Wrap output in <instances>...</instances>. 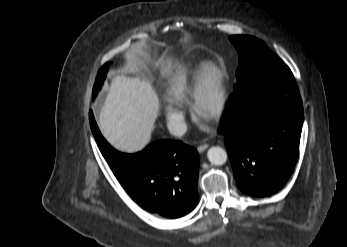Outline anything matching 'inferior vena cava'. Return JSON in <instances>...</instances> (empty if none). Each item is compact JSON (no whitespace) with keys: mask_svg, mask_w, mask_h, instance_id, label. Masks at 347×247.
<instances>
[{"mask_svg":"<svg viewBox=\"0 0 347 247\" xmlns=\"http://www.w3.org/2000/svg\"><path fill=\"white\" fill-rule=\"evenodd\" d=\"M167 127L169 132L176 137L183 136L187 131V124L184 121H179V120L169 121L167 124Z\"/></svg>","mask_w":347,"mask_h":247,"instance_id":"1","label":"inferior vena cava"}]
</instances>
